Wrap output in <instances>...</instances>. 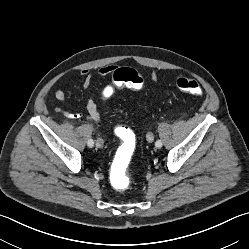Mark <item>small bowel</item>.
Masks as SVG:
<instances>
[{
    "instance_id": "c3829d8e",
    "label": "small bowel",
    "mask_w": 249,
    "mask_h": 249,
    "mask_svg": "<svg viewBox=\"0 0 249 249\" xmlns=\"http://www.w3.org/2000/svg\"><path fill=\"white\" fill-rule=\"evenodd\" d=\"M117 66L115 65H105L102 66L99 70H98V75L100 77H107V76H111L113 75L114 71L116 70ZM79 77L82 79L83 81V87L85 90H88L91 88V82H92V73L90 70L88 69H82L79 71ZM150 80L154 83H156L158 81V75L156 71H152L150 73ZM113 93V86L112 85H105L101 91H100V98L101 99H107L109 98ZM55 98L61 102V103H66L67 102V97H66V93L64 90L62 89H58L55 92ZM86 112H87V116L88 118L94 122L95 124H101L102 123V116L101 113L99 111L98 108V104L97 101L93 98V97H89L86 100ZM66 114V116H68L69 118L72 119H76L79 117V115L77 114H72L70 112H64Z\"/></svg>"
}]
</instances>
